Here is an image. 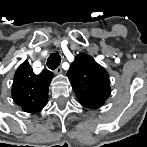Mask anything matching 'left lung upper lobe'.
Here are the masks:
<instances>
[{
  "label": "left lung upper lobe",
  "instance_id": "1",
  "mask_svg": "<svg viewBox=\"0 0 147 147\" xmlns=\"http://www.w3.org/2000/svg\"><path fill=\"white\" fill-rule=\"evenodd\" d=\"M67 76L80 104L85 108H100L111 93L107 71L87 54L76 55Z\"/></svg>",
  "mask_w": 147,
  "mask_h": 147
}]
</instances>
